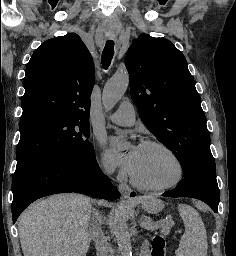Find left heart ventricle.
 Here are the masks:
<instances>
[{
    "instance_id": "left-heart-ventricle-1",
    "label": "left heart ventricle",
    "mask_w": 236,
    "mask_h": 256,
    "mask_svg": "<svg viewBox=\"0 0 236 256\" xmlns=\"http://www.w3.org/2000/svg\"><path fill=\"white\" fill-rule=\"evenodd\" d=\"M130 172L141 184L156 187L171 182L177 176L178 167L165 150L138 147Z\"/></svg>"
}]
</instances>
